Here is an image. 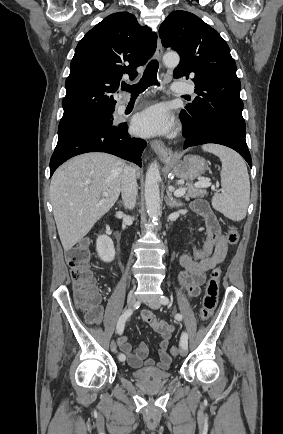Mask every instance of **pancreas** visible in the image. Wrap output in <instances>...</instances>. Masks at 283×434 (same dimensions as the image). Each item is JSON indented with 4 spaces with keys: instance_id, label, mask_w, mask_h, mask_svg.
Instances as JSON below:
<instances>
[{
    "instance_id": "obj_1",
    "label": "pancreas",
    "mask_w": 283,
    "mask_h": 434,
    "mask_svg": "<svg viewBox=\"0 0 283 434\" xmlns=\"http://www.w3.org/2000/svg\"><path fill=\"white\" fill-rule=\"evenodd\" d=\"M204 187H197L193 184H187L184 189L187 191L185 194V199L188 200L189 198H199L204 197L207 195V191L203 189Z\"/></svg>"
}]
</instances>
